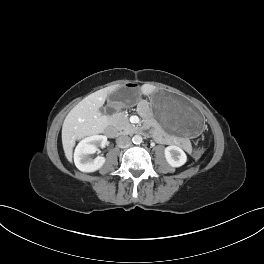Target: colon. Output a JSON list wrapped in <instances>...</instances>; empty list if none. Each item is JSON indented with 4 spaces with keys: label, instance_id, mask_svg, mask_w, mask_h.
<instances>
[{
    "label": "colon",
    "instance_id": "5ec220e1",
    "mask_svg": "<svg viewBox=\"0 0 264 264\" xmlns=\"http://www.w3.org/2000/svg\"><path fill=\"white\" fill-rule=\"evenodd\" d=\"M203 153V148L202 147H197L194 151H193V155L195 157H200Z\"/></svg>",
    "mask_w": 264,
    "mask_h": 264
}]
</instances>
